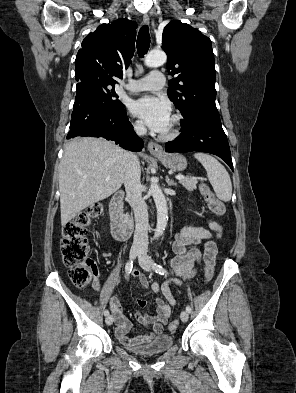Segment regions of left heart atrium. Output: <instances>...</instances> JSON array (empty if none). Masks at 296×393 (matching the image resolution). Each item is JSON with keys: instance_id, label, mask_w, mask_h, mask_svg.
I'll use <instances>...</instances> for the list:
<instances>
[{"instance_id": "obj_1", "label": "left heart atrium", "mask_w": 296, "mask_h": 393, "mask_svg": "<svg viewBox=\"0 0 296 393\" xmlns=\"http://www.w3.org/2000/svg\"><path fill=\"white\" fill-rule=\"evenodd\" d=\"M131 113L140 118L151 130L162 133L171 119L170 105L163 99L143 96L133 101Z\"/></svg>"}]
</instances>
